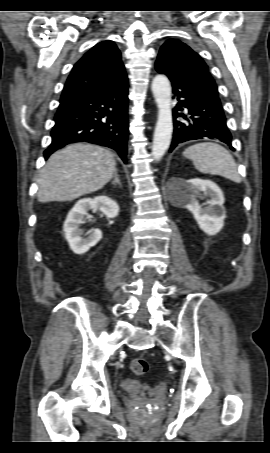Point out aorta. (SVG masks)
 Returning <instances> with one entry per match:
<instances>
[{
    "label": "aorta",
    "mask_w": 270,
    "mask_h": 453,
    "mask_svg": "<svg viewBox=\"0 0 270 453\" xmlns=\"http://www.w3.org/2000/svg\"><path fill=\"white\" fill-rule=\"evenodd\" d=\"M152 93L158 107V119L153 137L152 156L159 161L168 150L173 132L171 85L165 75L152 80Z\"/></svg>",
    "instance_id": "obj_1"
}]
</instances>
